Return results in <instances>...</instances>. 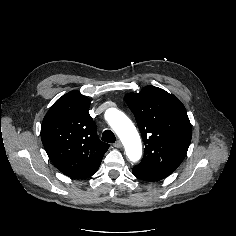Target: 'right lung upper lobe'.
<instances>
[{"mask_svg":"<svg viewBox=\"0 0 236 236\" xmlns=\"http://www.w3.org/2000/svg\"><path fill=\"white\" fill-rule=\"evenodd\" d=\"M89 99L74 90L60 97L41 125L43 146L53 164L66 176L83 179L98 170L109 144L100 141L88 113Z\"/></svg>","mask_w":236,"mask_h":236,"instance_id":"right-lung-upper-lobe-1","label":"right lung upper lobe"}]
</instances>
